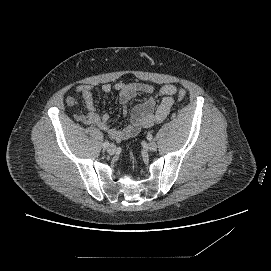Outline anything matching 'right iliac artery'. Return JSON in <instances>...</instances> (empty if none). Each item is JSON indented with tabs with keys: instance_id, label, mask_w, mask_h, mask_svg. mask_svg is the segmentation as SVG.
<instances>
[{
	"instance_id": "1",
	"label": "right iliac artery",
	"mask_w": 271,
	"mask_h": 271,
	"mask_svg": "<svg viewBox=\"0 0 271 271\" xmlns=\"http://www.w3.org/2000/svg\"><path fill=\"white\" fill-rule=\"evenodd\" d=\"M102 146H103L104 149L108 148L109 142H108V141H105V142L103 143Z\"/></svg>"
}]
</instances>
